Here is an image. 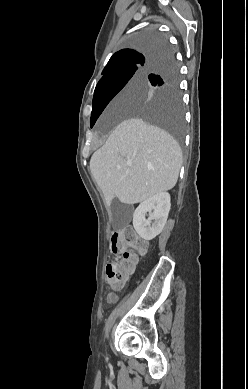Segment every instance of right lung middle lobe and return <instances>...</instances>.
Listing matches in <instances>:
<instances>
[{
	"instance_id": "dd1d6c3e",
	"label": "right lung middle lobe",
	"mask_w": 248,
	"mask_h": 389,
	"mask_svg": "<svg viewBox=\"0 0 248 389\" xmlns=\"http://www.w3.org/2000/svg\"><path fill=\"white\" fill-rule=\"evenodd\" d=\"M165 44L164 39L156 34H147L143 40V46L147 48ZM150 72L148 76L152 85L150 101H134L127 108L130 114L165 129L176 141L182 143L184 137L183 109L178 89V66L170 48L163 57L157 60V63L150 64L148 67L143 68L135 64L104 75L94 91L91 127L94 126L108 103L128 82L134 85L144 83ZM154 74H158L159 77L154 79Z\"/></svg>"
}]
</instances>
